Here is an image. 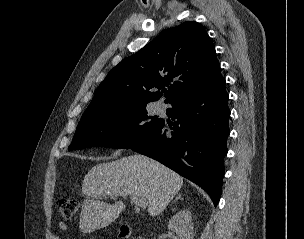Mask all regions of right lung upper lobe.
Returning <instances> with one entry per match:
<instances>
[{"instance_id":"cb5924a9","label":"right lung upper lobe","mask_w":304,"mask_h":239,"mask_svg":"<svg viewBox=\"0 0 304 239\" xmlns=\"http://www.w3.org/2000/svg\"><path fill=\"white\" fill-rule=\"evenodd\" d=\"M219 71L214 45L205 29L195 21L184 22L163 31L114 67L81 118L119 106L147 105L164 92L169 103Z\"/></svg>"}]
</instances>
